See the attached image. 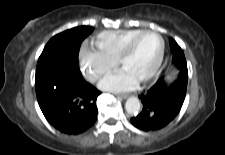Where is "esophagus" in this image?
<instances>
[{"label":"esophagus","mask_w":225,"mask_h":155,"mask_svg":"<svg viewBox=\"0 0 225 155\" xmlns=\"http://www.w3.org/2000/svg\"><path fill=\"white\" fill-rule=\"evenodd\" d=\"M128 96H129L128 94H120V95H117V97L123 98V99H126Z\"/></svg>","instance_id":"obj_1"}]
</instances>
